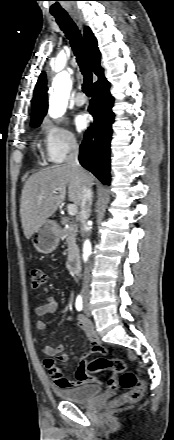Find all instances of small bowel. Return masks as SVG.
<instances>
[{
	"mask_svg": "<svg viewBox=\"0 0 174 440\" xmlns=\"http://www.w3.org/2000/svg\"><path fill=\"white\" fill-rule=\"evenodd\" d=\"M58 309V303L53 297L47 298L46 302L37 306L35 309V313L38 316H45L53 314ZM78 327H80L89 341L91 345V352H98L104 350L103 346L99 338L97 337L93 324L87 318L80 316ZM36 331L42 333L46 329V323L43 320H37L35 323ZM42 341V352L48 356L49 358L45 360V366L49 371V374L53 380V382L63 388H74L78 386H82L89 383H96L98 379L96 377L90 376L86 372L85 368V357H83L78 364L76 369V379L69 380L65 377V374L62 369L56 366V362L53 358H58V360L62 363H67L70 361V357L68 354L64 353L65 346L63 344H58L56 347L49 346L46 343V339L44 337L41 338Z\"/></svg>",
	"mask_w": 174,
	"mask_h": 440,
	"instance_id": "1",
	"label": "small bowel"
}]
</instances>
